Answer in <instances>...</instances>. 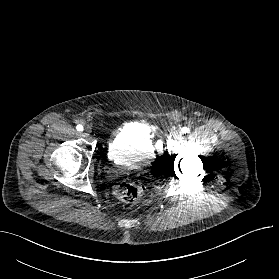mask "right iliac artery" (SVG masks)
<instances>
[{"mask_svg":"<svg viewBox=\"0 0 279 279\" xmlns=\"http://www.w3.org/2000/svg\"><path fill=\"white\" fill-rule=\"evenodd\" d=\"M76 129H77V131H83V126L82 125H77Z\"/></svg>","mask_w":279,"mask_h":279,"instance_id":"right-iliac-artery-1","label":"right iliac artery"}]
</instances>
